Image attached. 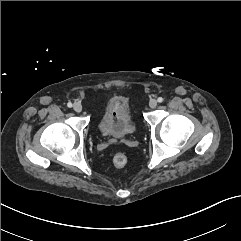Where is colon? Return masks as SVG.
<instances>
[{
  "mask_svg": "<svg viewBox=\"0 0 241 241\" xmlns=\"http://www.w3.org/2000/svg\"><path fill=\"white\" fill-rule=\"evenodd\" d=\"M113 163L116 167L122 168L127 164V157L123 153H117L113 157Z\"/></svg>",
  "mask_w": 241,
  "mask_h": 241,
  "instance_id": "obj_1",
  "label": "colon"
}]
</instances>
